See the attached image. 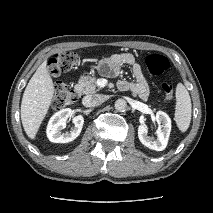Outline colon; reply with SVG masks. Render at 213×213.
<instances>
[{"label": "colon", "instance_id": "obj_1", "mask_svg": "<svg viewBox=\"0 0 213 213\" xmlns=\"http://www.w3.org/2000/svg\"><path fill=\"white\" fill-rule=\"evenodd\" d=\"M146 66L150 73L154 75L163 74L169 67L168 59L159 54H151L145 60ZM80 64V57L74 52H61L53 56L49 61V70L53 75H60L76 69ZM161 90L166 99L173 96V85L164 82ZM77 100L75 90L65 82H59L55 87L53 97V106L57 109L64 108L73 104Z\"/></svg>", "mask_w": 213, "mask_h": 213}]
</instances>
